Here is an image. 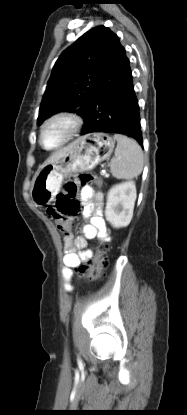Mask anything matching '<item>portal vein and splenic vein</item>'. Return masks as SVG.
I'll return each mask as SVG.
<instances>
[{"label": "portal vein and splenic vein", "mask_w": 187, "mask_h": 415, "mask_svg": "<svg viewBox=\"0 0 187 415\" xmlns=\"http://www.w3.org/2000/svg\"><path fill=\"white\" fill-rule=\"evenodd\" d=\"M103 175L105 176V177H108L109 175L108 174H106V173H103Z\"/></svg>", "instance_id": "1"}]
</instances>
